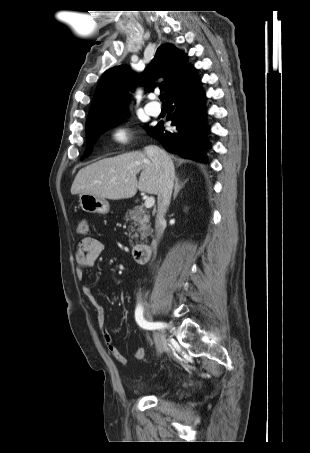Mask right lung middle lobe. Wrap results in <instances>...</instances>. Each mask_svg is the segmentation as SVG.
<instances>
[{
    "mask_svg": "<svg viewBox=\"0 0 310 453\" xmlns=\"http://www.w3.org/2000/svg\"><path fill=\"white\" fill-rule=\"evenodd\" d=\"M119 119L120 118H118L116 120H113V121H110V122H106V123L97 125V126H94V127H91L89 129H86V139H87L88 145H87V148H86V150H85V152H84V154L82 156V159L88 157L91 154V151L93 149V143L95 142V139L101 133H103L105 130H107V129L111 128L112 126H114L119 121Z\"/></svg>",
    "mask_w": 310,
    "mask_h": 453,
    "instance_id": "1",
    "label": "right lung middle lobe"
}]
</instances>
